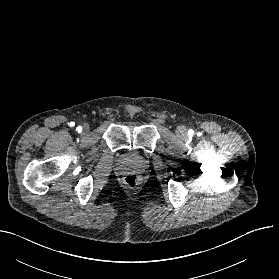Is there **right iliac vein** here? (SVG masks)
<instances>
[{
	"label": "right iliac vein",
	"mask_w": 279,
	"mask_h": 279,
	"mask_svg": "<svg viewBox=\"0 0 279 279\" xmlns=\"http://www.w3.org/2000/svg\"><path fill=\"white\" fill-rule=\"evenodd\" d=\"M83 131H84V132H88V131H89V125H88V124H85V125H84Z\"/></svg>",
	"instance_id": "63e3f726"
}]
</instances>
